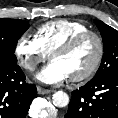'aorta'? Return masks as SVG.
<instances>
[{"label":"aorta","mask_w":118,"mask_h":118,"mask_svg":"<svg viewBox=\"0 0 118 118\" xmlns=\"http://www.w3.org/2000/svg\"><path fill=\"white\" fill-rule=\"evenodd\" d=\"M53 104L56 107L62 108L66 107L69 104V96L64 91H57L53 94Z\"/></svg>","instance_id":"1"}]
</instances>
